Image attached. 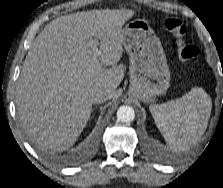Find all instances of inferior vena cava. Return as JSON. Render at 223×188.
Wrapping results in <instances>:
<instances>
[{
  "label": "inferior vena cava",
  "instance_id": "602c4592",
  "mask_svg": "<svg viewBox=\"0 0 223 188\" xmlns=\"http://www.w3.org/2000/svg\"><path fill=\"white\" fill-rule=\"evenodd\" d=\"M107 99H109V95H108L107 91L102 90V89L94 90L90 94V100L94 104L103 103Z\"/></svg>",
  "mask_w": 223,
  "mask_h": 188
}]
</instances>
